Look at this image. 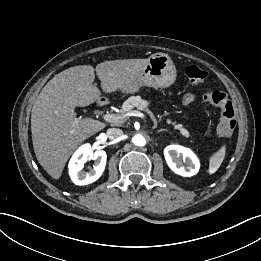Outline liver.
Masks as SVG:
<instances>
[{"mask_svg":"<svg viewBox=\"0 0 261 261\" xmlns=\"http://www.w3.org/2000/svg\"><path fill=\"white\" fill-rule=\"evenodd\" d=\"M148 59L105 61L68 68L54 76L38 95L31 114L36 158L44 170L59 179L73 151L106 124L88 117L76 118L74 108L96 102L101 93L92 83L95 71L105 93L122 89L146 67Z\"/></svg>","mask_w":261,"mask_h":261,"instance_id":"liver-1","label":"liver"}]
</instances>
